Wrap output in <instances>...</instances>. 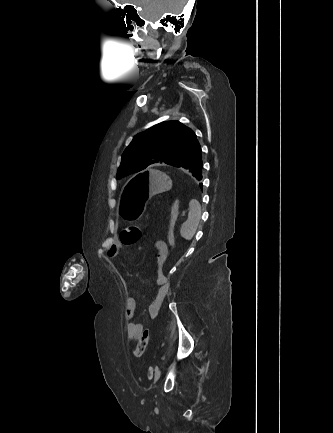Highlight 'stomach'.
<instances>
[{
  "label": "stomach",
  "mask_w": 333,
  "mask_h": 433,
  "mask_svg": "<svg viewBox=\"0 0 333 433\" xmlns=\"http://www.w3.org/2000/svg\"><path fill=\"white\" fill-rule=\"evenodd\" d=\"M171 187L162 169H146L132 177L123 187L119 202L121 218L133 223L146 209L147 201Z\"/></svg>",
  "instance_id": "obj_1"
}]
</instances>
